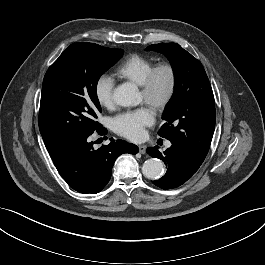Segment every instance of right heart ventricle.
I'll list each match as a JSON object with an SVG mask.
<instances>
[{
  "mask_svg": "<svg viewBox=\"0 0 265 265\" xmlns=\"http://www.w3.org/2000/svg\"><path fill=\"white\" fill-rule=\"evenodd\" d=\"M154 66L155 62L151 58L140 54H132L119 65L116 75L141 86Z\"/></svg>",
  "mask_w": 265,
  "mask_h": 265,
  "instance_id": "1",
  "label": "right heart ventricle"
}]
</instances>
